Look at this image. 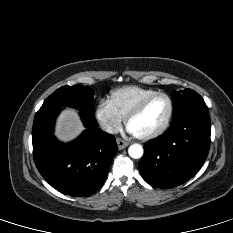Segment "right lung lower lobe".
Returning <instances> with one entry per match:
<instances>
[{
  "label": "right lung lower lobe",
  "mask_w": 233,
  "mask_h": 233,
  "mask_svg": "<svg viewBox=\"0 0 233 233\" xmlns=\"http://www.w3.org/2000/svg\"><path fill=\"white\" fill-rule=\"evenodd\" d=\"M61 108L38 111L32 129L33 156L44 179L59 192L86 197L104 183L118 150L115 137L98 128L92 114L79 111L87 129L73 142L63 144L53 135Z\"/></svg>",
  "instance_id": "98d812e1"
}]
</instances>
